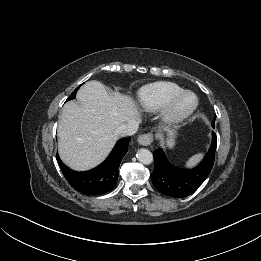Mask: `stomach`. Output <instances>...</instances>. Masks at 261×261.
I'll return each instance as SVG.
<instances>
[{
  "instance_id": "1",
  "label": "stomach",
  "mask_w": 261,
  "mask_h": 261,
  "mask_svg": "<svg viewBox=\"0 0 261 261\" xmlns=\"http://www.w3.org/2000/svg\"><path fill=\"white\" fill-rule=\"evenodd\" d=\"M166 131H167V135H168V137L166 139V146L168 148H173L175 145L176 132L173 129H166Z\"/></svg>"
}]
</instances>
